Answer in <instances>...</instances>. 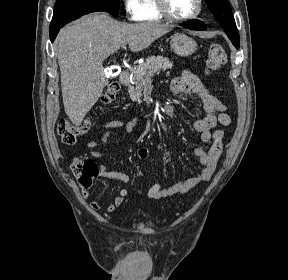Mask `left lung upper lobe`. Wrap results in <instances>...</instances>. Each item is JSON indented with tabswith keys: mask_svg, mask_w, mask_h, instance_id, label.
I'll list each match as a JSON object with an SVG mask.
<instances>
[{
	"mask_svg": "<svg viewBox=\"0 0 288 280\" xmlns=\"http://www.w3.org/2000/svg\"><path fill=\"white\" fill-rule=\"evenodd\" d=\"M205 2L233 45L240 46L239 33L228 1L205 0Z\"/></svg>",
	"mask_w": 288,
	"mask_h": 280,
	"instance_id": "5c2ea615",
	"label": "left lung upper lobe"
}]
</instances>
